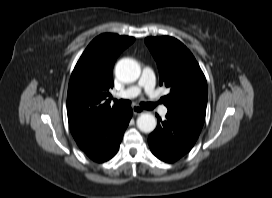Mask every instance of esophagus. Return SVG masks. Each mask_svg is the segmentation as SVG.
<instances>
[{"label": "esophagus", "mask_w": 272, "mask_h": 198, "mask_svg": "<svg viewBox=\"0 0 272 198\" xmlns=\"http://www.w3.org/2000/svg\"><path fill=\"white\" fill-rule=\"evenodd\" d=\"M132 110H133L134 115H140V114L146 112L144 109H142L141 107H139V106H137V105H134V106L132 107Z\"/></svg>", "instance_id": "34e87169"}]
</instances>
